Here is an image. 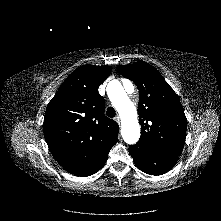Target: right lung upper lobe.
<instances>
[{"label":"right lung upper lobe","instance_id":"cb5924a9","mask_svg":"<svg viewBox=\"0 0 221 221\" xmlns=\"http://www.w3.org/2000/svg\"><path fill=\"white\" fill-rule=\"evenodd\" d=\"M110 72V66L77 68L47 106L45 140L54 158L67 171L92 164L117 142L119 126L105 116V101L98 93Z\"/></svg>","mask_w":221,"mask_h":221}]
</instances>
